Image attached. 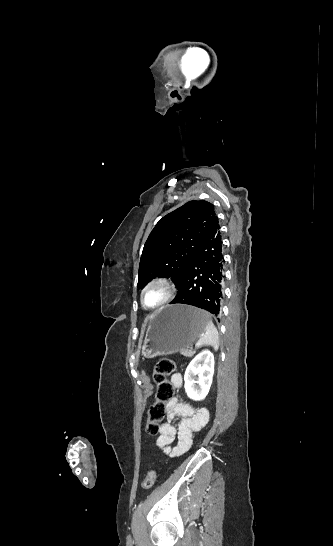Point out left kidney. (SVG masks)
<instances>
[{
	"instance_id": "5707ae66",
	"label": "left kidney",
	"mask_w": 333,
	"mask_h": 546,
	"mask_svg": "<svg viewBox=\"0 0 333 546\" xmlns=\"http://www.w3.org/2000/svg\"><path fill=\"white\" fill-rule=\"evenodd\" d=\"M214 374V356L204 350L189 363L184 374V388L187 396L193 400H203L210 389Z\"/></svg>"
}]
</instances>
